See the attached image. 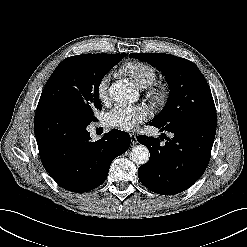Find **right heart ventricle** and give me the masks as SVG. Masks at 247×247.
Returning <instances> with one entry per match:
<instances>
[{
    "label": "right heart ventricle",
    "mask_w": 247,
    "mask_h": 247,
    "mask_svg": "<svg viewBox=\"0 0 247 247\" xmlns=\"http://www.w3.org/2000/svg\"><path fill=\"white\" fill-rule=\"evenodd\" d=\"M122 73L138 87H145L151 84L156 78L155 69L140 62H132L125 65L122 68Z\"/></svg>",
    "instance_id": "e07e8e85"
}]
</instances>
